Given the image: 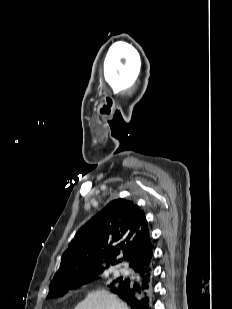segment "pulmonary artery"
Listing matches in <instances>:
<instances>
[{"label":"pulmonary artery","mask_w":232,"mask_h":309,"mask_svg":"<svg viewBox=\"0 0 232 309\" xmlns=\"http://www.w3.org/2000/svg\"><path fill=\"white\" fill-rule=\"evenodd\" d=\"M122 274H126L127 272H128V270L126 269V268H121L120 270H119Z\"/></svg>","instance_id":"1"}]
</instances>
